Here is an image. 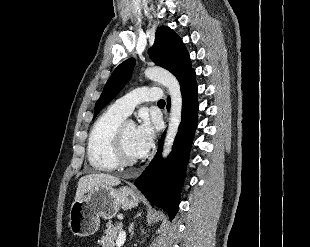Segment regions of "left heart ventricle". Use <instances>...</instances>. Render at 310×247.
<instances>
[{"label": "left heart ventricle", "mask_w": 310, "mask_h": 247, "mask_svg": "<svg viewBox=\"0 0 310 247\" xmlns=\"http://www.w3.org/2000/svg\"><path fill=\"white\" fill-rule=\"evenodd\" d=\"M135 131H136V128L133 124H130V123L126 124L125 131H124L125 149H126L127 155L132 158H138L134 150Z\"/></svg>", "instance_id": "b2bd125f"}]
</instances>
